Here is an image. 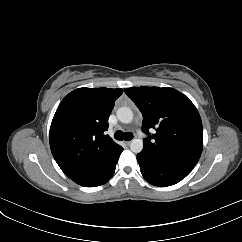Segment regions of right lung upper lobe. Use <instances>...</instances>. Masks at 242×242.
I'll list each match as a JSON object with an SVG mask.
<instances>
[{
	"label": "right lung upper lobe",
	"instance_id": "obj_1",
	"mask_svg": "<svg viewBox=\"0 0 242 242\" xmlns=\"http://www.w3.org/2000/svg\"><path fill=\"white\" fill-rule=\"evenodd\" d=\"M122 89L78 88L61 101L50 127V148L61 170L72 178L116 144L108 118Z\"/></svg>",
	"mask_w": 242,
	"mask_h": 242
}]
</instances>
